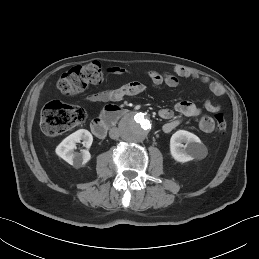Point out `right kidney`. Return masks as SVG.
I'll use <instances>...</instances> for the list:
<instances>
[{
    "label": "right kidney",
    "mask_w": 259,
    "mask_h": 259,
    "mask_svg": "<svg viewBox=\"0 0 259 259\" xmlns=\"http://www.w3.org/2000/svg\"><path fill=\"white\" fill-rule=\"evenodd\" d=\"M82 141L83 146L90 148L93 137L88 130L80 129L66 137L57 147L56 154L70 165L81 167L91 159L88 150H82L80 153L74 152L76 143Z\"/></svg>",
    "instance_id": "ca27d5eb"
}]
</instances>
